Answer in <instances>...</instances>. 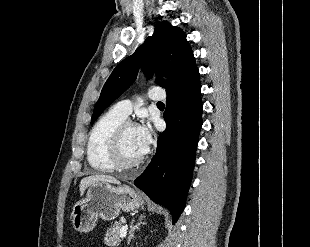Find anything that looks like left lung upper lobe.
<instances>
[{
    "instance_id": "left-lung-upper-lobe-1",
    "label": "left lung upper lobe",
    "mask_w": 310,
    "mask_h": 247,
    "mask_svg": "<svg viewBox=\"0 0 310 247\" xmlns=\"http://www.w3.org/2000/svg\"><path fill=\"white\" fill-rule=\"evenodd\" d=\"M140 67L150 74L166 75L169 81L161 77L156 80L157 84L166 88V92L197 69L184 32L167 21L157 22L153 35L134 54L119 63L107 79L94 107L91 124L135 81Z\"/></svg>"
}]
</instances>
